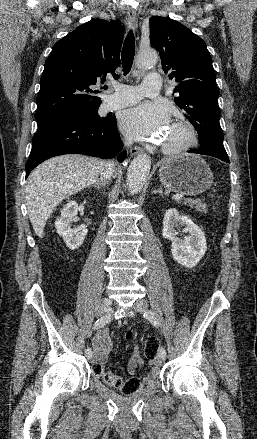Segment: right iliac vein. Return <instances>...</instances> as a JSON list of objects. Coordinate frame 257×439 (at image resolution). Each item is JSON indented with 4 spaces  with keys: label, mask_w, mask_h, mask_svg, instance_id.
<instances>
[{
    "label": "right iliac vein",
    "mask_w": 257,
    "mask_h": 439,
    "mask_svg": "<svg viewBox=\"0 0 257 439\" xmlns=\"http://www.w3.org/2000/svg\"><path fill=\"white\" fill-rule=\"evenodd\" d=\"M111 304L112 301L110 298H103L100 300L99 306H98V311H97V315L98 316H103L106 313H108L111 310ZM89 361L93 362L94 361V356H90L89 357Z\"/></svg>",
    "instance_id": "obj_1"
}]
</instances>
